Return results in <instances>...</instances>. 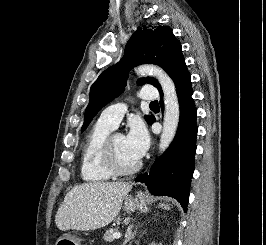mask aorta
Masks as SVG:
<instances>
[{"label": "aorta", "mask_w": 266, "mask_h": 245, "mask_svg": "<svg viewBox=\"0 0 266 245\" xmlns=\"http://www.w3.org/2000/svg\"><path fill=\"white\" fill-rule=\"evenodd\" d=\"M137 72H139V74H150V76H156L162 86L165 106L163 129L159 141V151L160 153H164V151L168 149L169 145H171L176 135L180 118V106L175 84L163 68H160V66H154V64L138 66Z\"/></svg>", "instance_id": "obj_1"}]
</instances>
